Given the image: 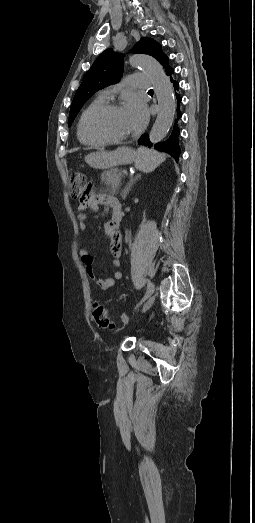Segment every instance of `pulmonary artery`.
I'll use <instances>...</instances> for the list:
<instances>
[{
  "mask_svg": "<svg viewBox=\"0 0 255 523\" xmlns=\"http://www.w3.org/2000/svg\"><path fill=\"white\" fill-rule=\"evenodd\" d=\"M129 78L131 79L130 83L133 84L132 88L135 91L145 92L151 90L152 88V85L150 83L152 77L148 73H144L142 71L131 73L129 75ZM127 83H129V80H126V84H124V86L120 88V93L122 95H128L130 93V86ZM101 93L106 97H111L115 93V89L106 88L102 90Z\"/></svg>",
  "mask_w": 255,
  "mask_h": 523,
  "instance_id": "e3ab8cb5",
  "label": "pulmonary artery"
}]
</instances>
